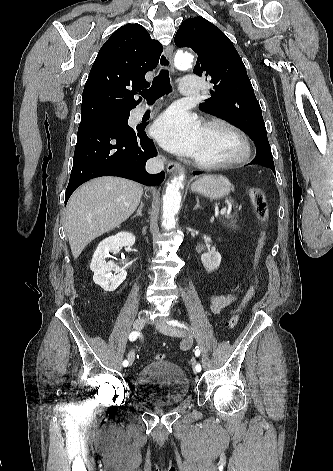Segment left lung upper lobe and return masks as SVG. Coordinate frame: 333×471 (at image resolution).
<instances>
[{"mask_svg":"<svg viewBox=\"0 0 333 471\" xmlns=\"http://www.w3.org/2000/svg\"><path fill=\"white\" fill-rule=\"evenodd\" d=\"M175 44L192 48L198 58L193 72L214 84L200 109L230 121L254 140L259 156H271L261 107L246 68L229 38L203 17L188 18L179 27Z\"/></svg>","mask_w":333,"mask_h":471,"instance_id":"obj_1","label":"left lung upper lobe"}]
</instances>
